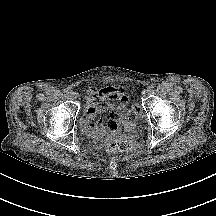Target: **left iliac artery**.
Returning <instances> with one entry per match:
<instances>
[{"mask_svg":"<svg viewBox=\"0 0 216 216\" xmlns=\"http://www.w3.org/2000/svg\"><path fill=\"white\" fill-rule=\"evenodd\" d=\"M154 88H155V85H150V86L148 87V90H149V91H153Z\"/></svg>","mask_w":216,"mask_h":216,"instance_id":"left-iliac-artery-1","label":"left iliac artery"}]
</instances>
